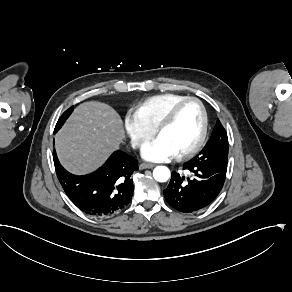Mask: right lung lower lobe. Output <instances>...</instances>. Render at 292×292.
I'll return each mask as SVG.
<instances>
[{
    "instance_id": "obj_1",
    "label": "right lung lower lobe",
    "mask_w": 292,
    "mask_h": 292,
    "mask_svg": "<svg viewBox=\"0 0 292 292\" xmlns=\"http://www.w3.org/2000/svg\"><path fill=\"white\" fill-rule=\"evenodd\" d=\"M57 177L70 200L84 213L108 217L123 210L131 201V175L138 170V161L122 151L114 152L96 171L84 176L67 172L54 151Z\"/></svg>"
}]
</instances>
